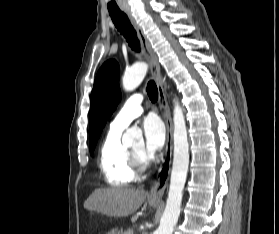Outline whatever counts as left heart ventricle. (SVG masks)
Here are the masks:
<instances>
[{
	"label": "left heart ventricle",
	"mask_w": 279,
	"mask_h": 234,
	"mask_svg": "<svg viewBox=\"0 0 279 234\" xmlns=\"http://www.w3.org/2000/svg\"><path fill=\"white\" fill-rule=\"evenodd\" d=\"M131 149H133V150H135L136 152H139V153H144V146H143L142 142L134 145Z\"/></svg>",
	"instance_id": "left-heart-ventricle-1"
}]
</instances>
